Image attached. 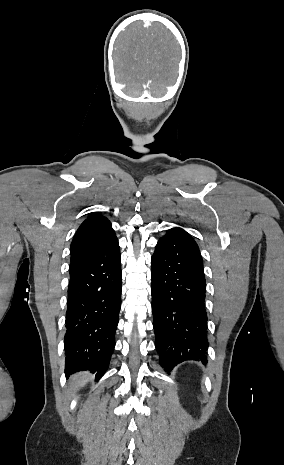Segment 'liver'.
I'll return each mask as SVG.
<instances>
[{"label": "liver", "mask_w": 284, "mask_h": 465, "mask_svg": "<svg viewBox=\"0 0 284 465\" xmlns=\"http://www.w3.org/2000/svg\"><path fill=\"white\" fill-rule=\"evenodd\" d=\"M77 379H84V377H80V375H76V377H73V381H77ZM87 381H81L79 385H86Z\"/></svg>", "instance_id": "1"}]
</instances>
